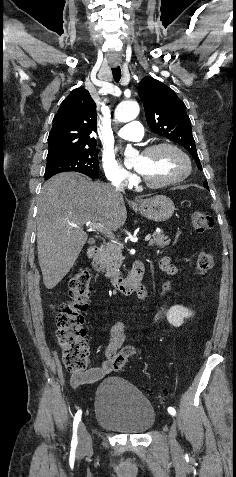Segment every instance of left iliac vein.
Wrapping results in <instances>:
<instances>
[{
    "label": "left iliac vein",
    "instance_id": "4c4485c4",
    "mask_svg": "<svg viewBox=\"0 0 236 477\" xmlns=\"http://www.w3.org/2000/svg\"><path fill=\"white\" fill-rule=\"evenodd\" d=\"M169 420H170V424L172 425L170 431H169V440H170V446L171 448H177L178 447V443L176 441V427L177 426V421H176V417L174 416L173 413H170L169 414Z\"/></svg>",
    "mask_w": 236,
    "mask_h": 477
}]
</instances>
